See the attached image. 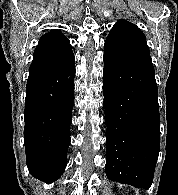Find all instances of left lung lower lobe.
I'll list each match as a JSON object with an SVG mask.
<instances>
[{
  "mask_svg": "<svg viewBox=\"0 0 178 195\" xmlns=\"http://www.w3.org/2000/svg\"><path fill=\"white\" fill-rule=\"evenodd\" d=\"M103 61L106 175L148 189L160 149L155 72L106 54Z\"/></svg>",
  "mask_w": 178,
  "mask_h": 195,
  "instance_id": "0a47b994",
  "label": "left lung lower lobe"
}]
</instances>
